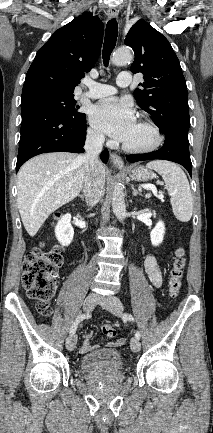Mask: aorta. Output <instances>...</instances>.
Wrapping results in <instances>:
<instances>
[{"mask_svg":"<svg viewBox=\"0 0 213 433\" xmlns=\"http://www.w3.org/2000/svg\"><path fill=\"white\" fill-rule=\"evenodd\" d=\"M132 52L129 48H118L112 55L111 61L116 66H123L132 60ZM112 209L118 220L123 221L126 217V205L124 193L120 185L114 184L112 192Z\"/></svg>","mask_w":213,"mask_h":433,"instance_id":"obj_1","label":"aorta"}]
</instances>
